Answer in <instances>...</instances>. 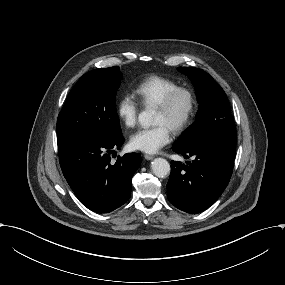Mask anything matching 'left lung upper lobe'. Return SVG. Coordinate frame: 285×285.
Listing matches in <instances>:
<instances>
[{
	"instance_id": "1",
	"label": "left lung upper lobe",
	"mask_w": 285,
	"mask_h": 285,
	"mask_svg": "<svg viewBox=\"0 0 285 285\" xmlns=\"http://www.w3.org/2000/svg\"><path fill=\"white\" fill-rule=\"evenodd\" d=\"M194 84L199 110L196 121L182 134L172 149L186 150L222 132H236L228 98L206 72L194 67H179Z\"/></svg>"
}]
</instances>
